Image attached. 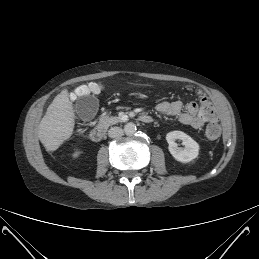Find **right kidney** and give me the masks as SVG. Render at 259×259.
<instances>
[{
    "label": "right kidney",
    "instance_id": "1",
    "mask_svg": "<svg viewBox=\"0 0 259 259\" xmlns=\"http://www.w3.org/2000/svg\"><path fill=\"white\" fill-rule=\"evenodd\" d=\"M80 154H81V151H76V152L73 154V157H74V158H77Z\"/></svg>",
    "mask_w": 259,
    "mask_h": 259
}]
</instances>
